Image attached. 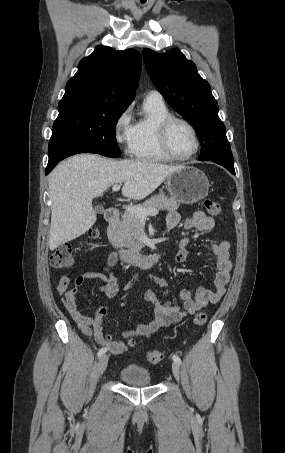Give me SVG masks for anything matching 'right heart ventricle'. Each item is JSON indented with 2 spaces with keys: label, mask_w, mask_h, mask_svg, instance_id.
<instances>
[{
  "label": "right heart ventricle",
  "mask_w": 285,
  "mask_h": 453,
  "mask_svg": "<svg viewBox=\"0 0 285 453\" xmlns=\"http://www.w3.org/2000/svg\"><path fill=\"white\" fill-rule=\"evenodd\" d=\"M145 113L132 125L129 152L138 159L168 162L170 158L161 148L158 138L160 123L172 116L164 102L146 100Z\"/></svg>",
  "instance_id": "e07e8e85"
}]
</instances>
